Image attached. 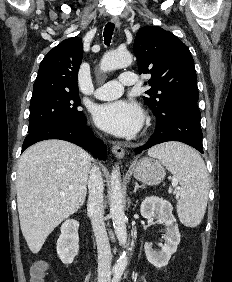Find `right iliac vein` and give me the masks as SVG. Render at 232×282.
I'll return each mask as SVG.
<instances>
[{
  "instance_id": "1",
  "label": "right iliac vein",
  "mask_w": 232,
  "mask_h": 282,
  "mask_svg": "<svg viewBox=\"0 0 232 282\" xmlns=\"http://www.w3.org/2000/svg\"><path fill=\"white\" fill-rule=\"evenodd\" d=\"M99 282H105L104 280H102V281H99Z\"/></svg>"
}]
</instances>
